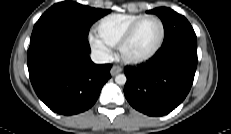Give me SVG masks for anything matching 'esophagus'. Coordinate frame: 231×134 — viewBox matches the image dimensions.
I'll return each instance as SVG.
<instances>
[{
  "label": "esophagus",
  "instance_id": "esophagus-1",
  "mask_svg": "<svg viewBox=\"0 0 231 134\" xmlns=\"http://www.w3.org/2000/svg\"><path fill=\"white\" fill-rule=\"evenodd\" d=\"M120 72H122V68L118 65H113L112 68L110 69V74L112 76H115L119 74Z\"/></svg>",
  "mask_w": 231,
  "mask_h": 134
}]
</instances>
